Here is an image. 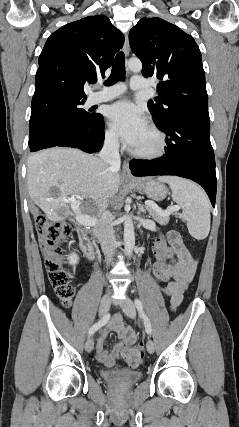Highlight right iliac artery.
<instances>
[{
	"label": "right iliac artery",
	"instance_id": "obj_1",
	"mask_svg": "<svg viewBox=\"0 0 239 427\" xmlns=\"http://www.w3.org/2000/svg\"><path fill=\"white\" fill-rule=\"evenodd\" d=\"M110 319V314L104 315L97 323H95L90 329H89V336L94 334L99 328L104 326Z\"/></svg>",
	"mask_w": 239,
	"mask_h": 427
}]
</instances>
